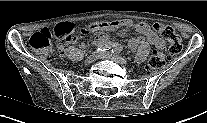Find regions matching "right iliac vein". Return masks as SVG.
<instances>
[{"label": "right iliac vein", "mask_w": 207, "mask_h": 123, "mask_svg": "<svg viewBox=\"0 0 207 123\" xmlns=\"http://www.w3.org/2000/svg\"><path fill=\"white\" fill-rule=\"evenodd\" d=\"M98 57H100V54L94 53L92 55H90L89 57L86 58V60L84 61V63L86 65L91 64L93 61H95Z\"/></svg>", "instance_id": "63e3f726"}]
</instances>
